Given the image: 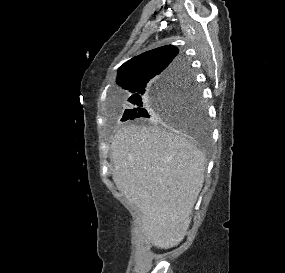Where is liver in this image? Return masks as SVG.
<instances>
[{
	"mask_svg": "<svg viewBox=\"0 0 285 273\" xmlns=\"http://www.w3.org/2000/svg\"><path fill=\"white\" fill-rule=\"evenodd\" d=\"M113 181L146 217L144 232L161 249L177 246L203 187L206 158L170 130L123 126L111 141Z\"/></svg>",
	"mask_w": 285,
	"mask_h": 273,
	"instance_id": "6515ba94",
	"label": "liver"
}]
</instances>
